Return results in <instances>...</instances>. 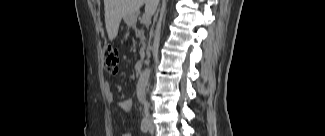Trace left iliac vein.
I'll return each instance as SVG.
<instances>
[{"label": "left iliac vein", "instance_id": "left-iliac-vein-1", "mask_svg": "<svg viewBox=\"0 0 325 136\" xmlns=\"http://www.w3.org/2000/svg\"><path fill=\"white\" fill-rule=\"evenodd\" d=\"M148 129H149V132H154V125L153 123L148 119Z\"/></svg>", "mask_w": 325, "mask_h": 136}]
</instances>
